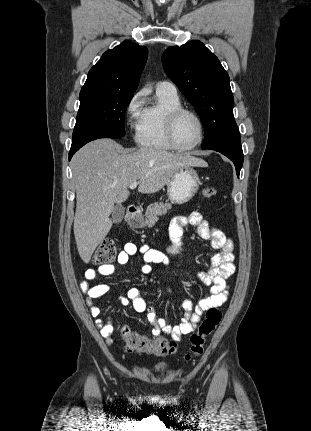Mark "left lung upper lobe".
<instances>
[{
	"label": "left lung upper lobe",
	"mask_w": 311,
	"mask_h": 431,
	"mask_svg": "<svg viewBox=\"0 0 311 431\" xmlns=\"http://www.w3.org/2000/svg\"><path fill=\"white\" fill-rule=\"evenodd\" d=\"M162 62L169 78L200 116L205 128L202 149L241 141L229 76L218 58L202 42L194 40L169 47Z\"/></svg>",
	"instance_id": "1"
}]
</instances>
